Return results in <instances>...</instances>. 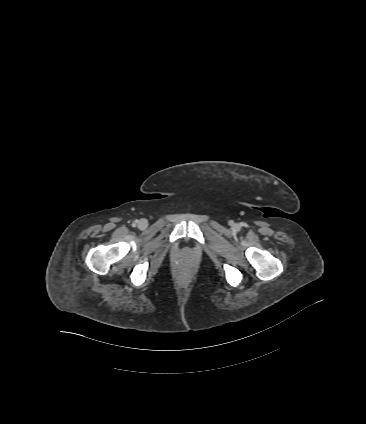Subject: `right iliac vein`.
I'll list each match as a JSON object with an SVG mask.
<instances>
[{
	"label": "right iliac vein",
	"instance_id": "63e3f726",
	"mask_svg": "<svg viewBox=\"0 0 366 424\" xmlns=\"http://www.w3.org/2000/svg\"><path fill=\"white\" fill-rule=\"evenodd\" d=\"M147 224H148V222H147L146 219H141L139 221V224L138 225H139L140 228H145L147 226Z\"/></svg>",
	"mask_w": 366,
	"mask_h": 424
}]
</instances>
